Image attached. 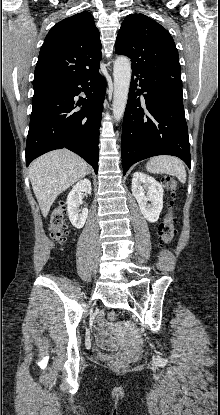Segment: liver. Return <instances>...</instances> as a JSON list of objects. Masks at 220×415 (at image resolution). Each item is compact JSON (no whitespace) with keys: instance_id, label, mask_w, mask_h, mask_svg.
Instances as JSON below:
<instances>
[{"instance_id":"liver-1","label":"liver","mask_w":220,"mask_h":415,"mask_svg":"<svg viewBox=\"0 0 220 415\" xmlns=\"http://www.w3.org/2000/svg\"><path fill=\"white\" fill-rule=\"evenodd\" d=\"M89 172L88 164L66 149L55 150L37 158L29 167V178L44 217L59 194Z\"/></svg>"}]
</instances>
